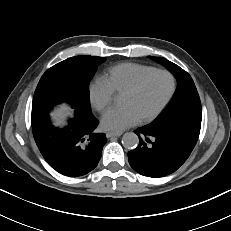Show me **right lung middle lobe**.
Listing matches in <instances>:
<instances>
[{
  "label": "right lung middle lobe",
  "mask_w": 231,
  "mask_h": 231,
  "mask_svg": "<svg viewBox=\"0 0 231 231\" xmlns=\"http://www.w3.org/2000/svg\"><path fill=\"white\" fill-rule=\"evenodd\" d=\"M103 57L80 55L68 58L41 77L34 93L32 115L48 112L61 102L70 103L76 113L91 114L88 101V82Z\"/></svg>",
  "instance_id": "1"
}]
</instances>
